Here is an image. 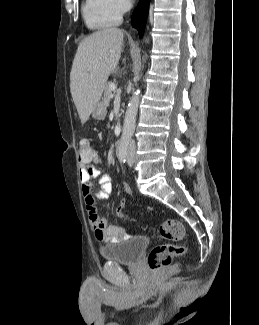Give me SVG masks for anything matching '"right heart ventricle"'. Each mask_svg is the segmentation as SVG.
I'll return each mask as SVG.
<instances>
[{
    "label": "right heart ventricle",
    "instance_id": "e07e8e85",
    "mask_svg": "<svg viewBox=\"0 0 259 325\" xmlns=\"http://www.w3.org/2000/svg\"><path fill=\"white\" fill-rule=\"evenodd\" d=\"M82 16L87 27L93 30L110 28L121 21V15L113 9L110 0H84Z\"/></svg>",
    "mask_w": 259,
    "mask_h": 325
}]
</instances>
